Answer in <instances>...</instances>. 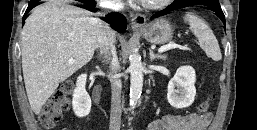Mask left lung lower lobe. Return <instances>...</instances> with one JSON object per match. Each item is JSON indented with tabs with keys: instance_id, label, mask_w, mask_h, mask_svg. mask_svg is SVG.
<instances>
[{
	"instance_id": "left-lung-lower-lobe-1",
	"label": "left lung lower lobe",
	"mask_w": 257,
	"mask_h": 130,
	"mask_svg": "<svg viewBox=\"0 0 257 130\" xmlns=\"http://www.w3.org/2000/svg\"><path fill=\"white\" fill-rule=\"evenodd\" d=\"M191 4H199V5H203L205 9L211 10L213 12H215V14L223 21V23L225 24V16L222 12V9L220 7L219 1L218 0H198V1H193V0H187L185 2H181V3H172L170 4L166 9L157 12L156 14H154L151 19L154 18H158L161 16H164L168 13H170L171 11L186 7L188 5Z\"/></svg>"
}]
</instances>
